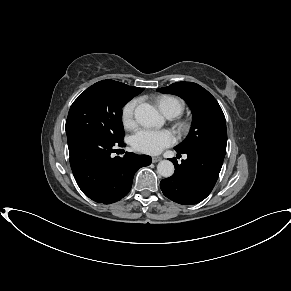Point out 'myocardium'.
I'll return each mask as SVG.
<instances>
[{"label": "myocardium", "mask_w": 291, "mask_h": 291, "mask_svg": "<svg viewBox=\"0 0 291 291\" xmlns=\"http://www.w3.org/2000/svg\"><path fill=\"white\" fill-rule=\"evenodd\" d=\"M177 128L181 133H185L189 130L190 128V123L188 121H180L177 124Z\"/></svg>", "instance_id": "myocardium-1"}]
</instances>
